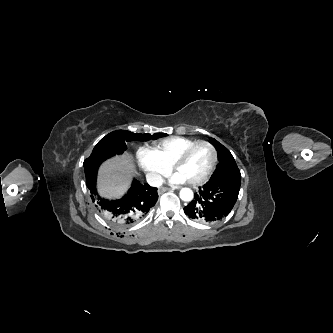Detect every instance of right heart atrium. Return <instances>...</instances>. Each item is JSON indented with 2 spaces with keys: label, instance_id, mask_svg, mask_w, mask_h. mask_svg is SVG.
Here are the masks:
<instances>
[{
  "label": "right heart atrium",
  "instance_id": "obj_1",
  "mask_svg": "<svg viewBox=\"0 0 333 333\" xmlns=\"http://www.w3.org/2000/svg\"><path fill=\"white\" fill-rule=\"evenodd\" d=\"M136 159L145 177L153 185H159L162 182V178L169 173V167L149 147H140L137 150Z\"/></svg>",
  "mask_w": 333,
  "mask_h": 333
}]
</instances>
